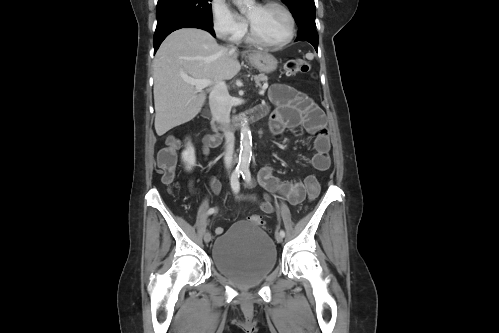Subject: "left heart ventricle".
I'll return each mask as SVG.
<instances>
[{"instance_id": "left-heart-ventricle-1", "label": "left heart ventricle", "mask_w": 499, "mask_h": 333, "mask_svg": "<svg viewBox=\"0 0 499 333\" xmlns=\"http://www.w3.org/2000/svg\"><path fill=\"white\" fill-rule=\"evenodd\" d=\"M247 17L256 33L264 40L277 42L288 35L289 21L279 8L253 5L248 9Z\"/></svg>"}]
</instances>
